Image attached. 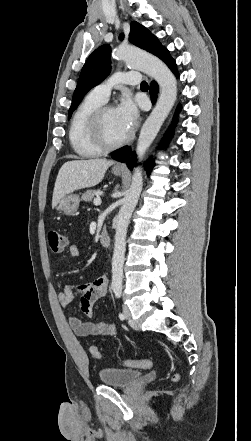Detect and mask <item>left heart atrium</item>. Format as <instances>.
Segmentation results:
<instances>
[{"mask_svg": "<svg viewBox=\"0 0 251 441\" xmlns=\"http://www.w3.org/2000/svg\"><path fill=\"white\" fill-rule=\"evenodd\" d=\"M116 112L122 126L127 132L136 126L138 121V109L130 98H125L116 108Z\"/></svg>", "mask_w": 251, "mask_h": 441, "instance_id": "1", "label": "left heart atrium"}]
</instances>
